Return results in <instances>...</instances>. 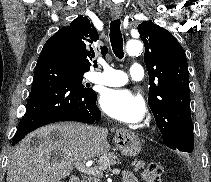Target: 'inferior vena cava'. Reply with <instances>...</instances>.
<instances>
[{"label":"inferior vena cava","mask_w":211,"mask_h":182,"mask_svg":"<svg viewBox=\"0 0 211 182\" xmlns=\"http://www.w3.org/2000/svg\"><path fill=\"white\" fill-rule=\"evenodd\" d=\"M101 130L100 129H93V134H100Z\"/></svg>","instance_id":"obj_1"}]
</instances>
